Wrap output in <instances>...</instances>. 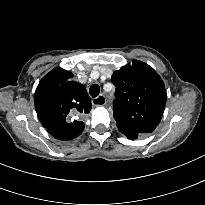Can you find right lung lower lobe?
I'll use <instances>...</instances> for the list:
<instances>
[{
    "mask_svg": "<svg viewBox=\"0 0 205 205\" xmlns=\"http://www.w3.org/2000/svg\"><path fill=\"white\" fill-rule=\"evenodd\" d=\"M52 136H53V134L55 133V131H53V130H49L48 131Z\"/></svg>",
    "mask_w": 205,
    "mask_h": 205,
    "instance_id": "right-lung-lower-lobe-1",
    "label": "right lung lower lobe"
}]
</instances>
